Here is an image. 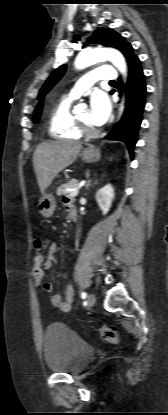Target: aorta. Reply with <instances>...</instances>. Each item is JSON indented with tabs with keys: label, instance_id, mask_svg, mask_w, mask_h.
I'll return each mask as SVG.
<instances>
[{
	"label": "aorta",
	"instance_id": "1",
	"mask_svg": "<svg viewBox=\"0 0 168 415\" xmlns=\"http://www.w3.org/2000/svg\"><path fill=\"white\" fill-rule=\"evenodd\" d=\"M109 60L123 74L127 75V64L123 55L114 48H96L81 51L75 59V68L84 69L100 61ZM123 102L120 105V114L123 111Z\"/></svg>",
	"mask_w": 168,
	"mask_h": 415
}]
</instances>
